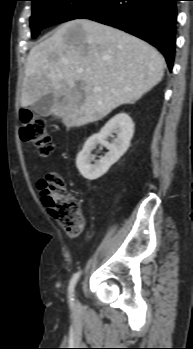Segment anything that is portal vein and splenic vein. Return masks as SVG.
Segmentation results:
<instances>
[{
  "mask_svg": "<svg viewBox=\"0 0 193 349\" xmlns=\"http://www.w3.org/2000/svg\"><path fill=\"white\" fill-rule=\"evenodd\" d=\"M78 72H79V73H82L83 70H82V69H79ZM95 90H98V88H95Z\"/></svg>",
  "mask_w": 193,
  "mask_h": 349,
  "instance_id": "18ae733b",
  "label": "portal vein and splenic vein"
}]
</instances>
